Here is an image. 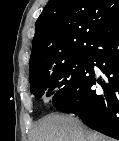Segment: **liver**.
Returning a JSON list of instances; mask_svg holds the SVG:
<instances>
[{"mask_svg":"<svg viewBox=\"0 0 119 141\" xmlns=\"http://www.w3.org/2000/svg\"><path fill=\"white\" fill-rule=\"evenodd\" d=\"M30 141H112L71 115L51 114L35 126Z\"/></svg>","mask_w":119,"mask_h":141,"instance_id":"6515ba94","label":"liver"}]
</instances>
